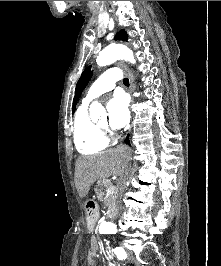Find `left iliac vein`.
I'll list each match as a JSON object with an SVG mask.
<instances>
[{"label":"left iliac vein","instance_id":"obj_1","mask_svg":"<svg viewBox=\"0 0 221 266\" xmlns=\"http://www.w3.org/2000/svg\"><path fill=\"white\" fill-rule=\"evenodd\" d=\"M127 257H128L129 259H132V257H133V254H132V252H130V251H127Z\"/></svg>","mask_w":221,"mask_h":266}]
</instances>
